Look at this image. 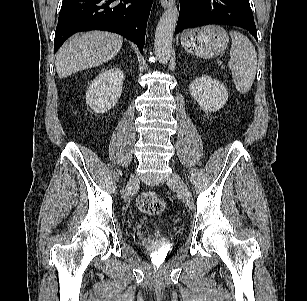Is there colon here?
I'll return each instance as SVG.
<instances>
[{
  "label": "colon",
  "instance_id": "colon-1",
  "mask_svg": "<svg viewBox=\"0 0 307 301\" xmlns=\"http://www.w3.org/2000/svg\"><path fill=\"white\" fill-rule=\"evenodd\" d=\"M137 206L146 215H157L163 211L164 201L158 193L146 191L138 196ZM144 244L150 250H156L159 247V240L151 234H146Z\"/></svg>",
  "mask_w": 307,
  "mask_h": 301
}]
</instances>
